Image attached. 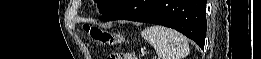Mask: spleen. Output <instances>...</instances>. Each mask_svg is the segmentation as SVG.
Returning <instances> with one entry per match:
<instances>
[{
	"mask_svg": "<svg viewBox=\"0 0 261 59\" xmlns=\"http://www.w3.org/2000/svg\"><path fill=\"white\" fill-rule=\"evenodd\" d=\"M141 36L154 47L159 59H183L189 54L188 40L171 28L149 26Z\"/></svg>",
	"mask_w": 261,
	"mask_h": 59,
	"instance_id": "1",
	"label": "spleen"
}]
</instances>
